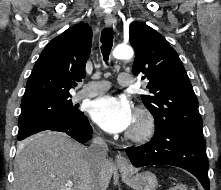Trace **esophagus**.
Here are the masks:
<instances>
[{
    "label": "esophagus",
    "instance_id": "34e87169",
    "mask_svg": "<svg viewBox=\"0 0 221 190\" xmlns=\"http://www.w3.org/2000/svg\"><path fill=\"white\" fill-rule=\"evenodd\" d=\"M105 23L108 27H113L115 28L116 26V19L112 14H107L105 17ZM115 162L117 167L122 170V171H127L130 169V163L129 160L122 155L120 152L117 153Z\"/></svg>",
    "mask_w": 221,
    "mask_h": 190
}]
</instances>
